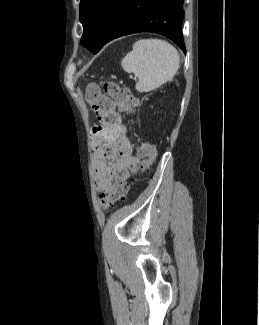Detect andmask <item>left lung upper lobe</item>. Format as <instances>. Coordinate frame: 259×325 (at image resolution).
<instances>
[{"label": "left lung upper lobe", "instance_id": "5c2ea615", "mask_svg": "<svg viewBox=\"0 0 259 325\" xmlns=\"http://www.w3.org/2000/svg\"><path fill=\"white\" fill-rule=\"evenodd\" d=\"M122 0H81L80 21L83 25L81 44L93 53L103 47V41Z\"/></svg>", "mask_w": 259, "mask_h": 325}]
</instances>
